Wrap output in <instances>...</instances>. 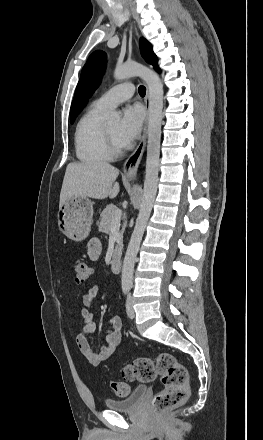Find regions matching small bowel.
Masks as SVG:
<instances>
[{
    "label": "small bowel",
    "mask_w": 263,
    "mask_h": 440,
    "mask_svg": "<svg viewBox=\"0 0 263 440\" xmlns=\"http://www.w3.org/2000/svg\"><path fill=\"white\" fill-rule=\"evenodd\" d=\"M102 245L96 238L88 243V256L95 261L100 257ZM100 288L98 285H92L87 288L80 296L81 315L84 319V324L76 337V344L82 355L92 364L99 365L104 360L108 359L119 347L122 342L121 319L119 316H112L110 318V328L106 333V343L95 351L89 338L95 332L96 326L93 319V314L89 310L93 300L99 294Z\"/></svg>",
    "instance_id": "small-bowel-1"
}]
</instances>
